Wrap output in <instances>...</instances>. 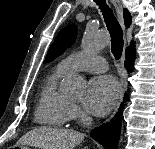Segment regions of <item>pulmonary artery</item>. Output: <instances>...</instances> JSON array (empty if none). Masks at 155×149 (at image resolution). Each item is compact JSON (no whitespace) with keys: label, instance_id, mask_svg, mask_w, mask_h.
<instances>
[{"label":"pulmonary artery","instance_id":"obj_1","mask_svg":"<svg viewBox=\"0 0 155 149\" xmlns=\"http://www.w3.org/2000/svg\"><path fill=\"white\" fill-rule=\"evenodd\" d=\"M58 66L65 73L72 71L101 73L108 69L107 62L103 57L95 53L83 52L74 53L65 57L59 62Z\"/></svg>","mask_w":155,"mask_h":149}]
</instances>
